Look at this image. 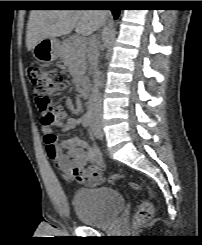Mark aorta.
<instances>
[{"instance_id":"obj_1","label":"aorta","mask_w":202,"mask_h":245,"mask_svg":"<svg viewBox=\"0 0 202 245\" xmlns=\"http://www.w3.org/2000/svg\"><path fill=\"white\" fill-rule=\"evenodd\" d=\"M100 86H101V80H100V76H99L98 82H97L96 84H93V87H94L97 91H99Z\"/></svg>"}]
</instances>
